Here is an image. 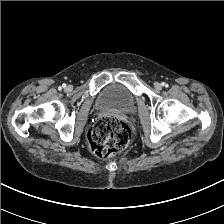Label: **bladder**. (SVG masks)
<instances>
[{
  "mask_svg": "<svg viewBox=\"0 0 224 224\" xmlns=\"http://www.w3.org/2000/svg\"><path fill=\"white\" fill-rule=\"evenodd\" d=\"M135 104L133 94L119 84L107 85L101 90L96 99V105L99 109L120 113H132Z\"/></svg>",
  "mask_w": 224,
  "mask_h": 224,
  "instance_id": "1",
  "label": "bladder"
}]
</instances>
